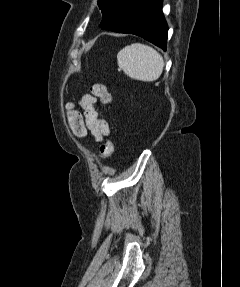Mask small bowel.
Wrapping results in <instances>:
<instances>
[{
	"label": "small bowel",
	"mask_w": 240,
	"mask_h": 287,
	"mask_svg": "<svg viewBox=\"0 0 240 287\" xmlns=\"http://www.w3.org/2000/svg\"><path fill=\"white\" fill-rule=\"evenodd\" d=\"M97 98L92 94H83L79 99V105L83 110L85 128L92 134L97 142L109 136L110 128L107 121L100 117L97 109Z\"/></svg>",
	"instance_id": "obj_1"
}]
</instances>
